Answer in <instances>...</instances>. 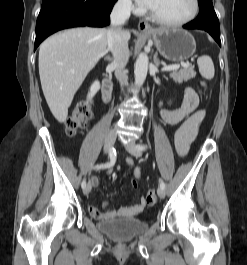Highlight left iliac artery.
Masks as SVG:
<instances>
[{
  "label": "left iliac artery",
  "mask_w": 247,
  "mask_h": 265,
  "mask_svg": "<svg viewBox=\"0 0 247 265\" xmlns=\"http://www.w3.org/2000/svg\"><path fill=\"white\" fill-rule=\"evenodd\" d=\"M137 148L139 150H141V151H144V150L147 149V146L145 144H138ZM160 187L163 188V189L165 188V184H164V182L162 180H160Z\"/></svg>",
  "instance_id": "left-iliac-artery-1"
}]
</instances>
